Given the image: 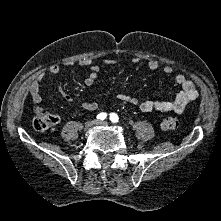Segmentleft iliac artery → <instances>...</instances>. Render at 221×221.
Instances as JSON below:
<instances>
[{"mask_svg": "<svg viewBox=\"0 0 221 221\" xmlns=\"http://www.w3.org/2000/svg\"><path fill=\"white\" fill-rule=\"evenodd\" d=\"M110 120H111L113 123H117L118 120H119L118 115L115 114V113L110 114Z\"/></svg>", "mask_w": 221, "mask_h": 221, "instance_id": "obj_1", "label": "left iliac artery"}]
</instances>
